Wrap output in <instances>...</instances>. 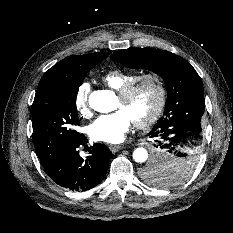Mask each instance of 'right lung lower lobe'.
<instances>
[{
    "instance_id": "1",
    "label": "right lung lower lobe",
    "mask_w": 233,
    "mask_h": 233,
    "mask_svg": "<svg viewBox=\"0 0 233 233\" xmlns=\"http://www.w3.org/2000/svg\"><path fill=\"white\" fill-rule=\"evenodd\" d=\"M86 142L83 135L58 156L41 160L45 172L61 187L86 191L103 180L113 154L107 146L95 143L89 149L90 155L84 160L79 155L78 147Z\"/></svg>"
}]
</instances>
